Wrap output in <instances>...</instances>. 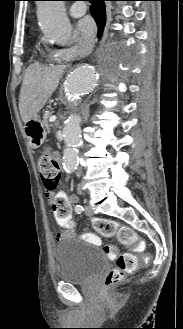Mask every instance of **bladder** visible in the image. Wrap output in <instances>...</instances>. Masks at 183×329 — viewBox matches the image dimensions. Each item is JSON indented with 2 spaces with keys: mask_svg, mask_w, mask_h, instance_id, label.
Listing matches in <instances>:
<instances>
[{
  "mask_svg": "<svg viewBox=\"0 0 183 329\" xmlns=\"http://www.w3.org/2000/svg\"><path fill=\"white\" fill-rule=\"evenodd\" d=\"M59 279L66 283H87L108 268L105 254L77 237H63L54 247Z\"/></svg>",
  "mask_w": 183,
  "mask_h": 329,
  "instance_id": "obj_1",
  "label": "bladder"
}]
</instances>
